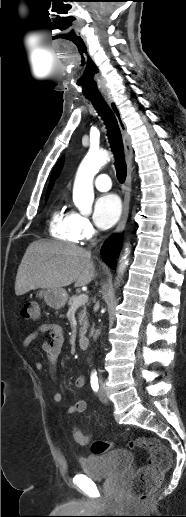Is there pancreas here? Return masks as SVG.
Returning a JSON list of instances; mask_svg holds the SVG:
<instances>
[{"label":"pancreas","mask_w":186,"mask_h":517,"mask_svg":"<svg viewBox=\"0 0 186 517\" xmlns=\"http://www.w3.org/2000/svg\"><path fill=\"white\" fill-rule=\"evenodd\" d=\"M78 298L77 295H73L72 297L69 298L68 300V305L69 307H72L73 306V303L74 301ZM83 309L81 310V312L78 314V317H79V324L81 325L80 327V330H79V335L80 337H83L87 331V328H88V320H87V311H86V306L83 305L82 306Z\"/></svg>","instance_id":"obj_1"}]
</instances>
